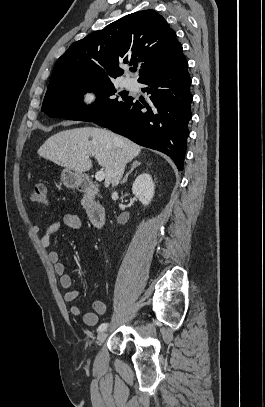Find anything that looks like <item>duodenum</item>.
Returning a JSON list of instances; mask_svg holds the SVG:
<instances>
[{"instance_id":"410a0bca","label":"duodenum","mask_w":265,"mask_h":407,"mask_svg":"<svg viewBox=\"0 0 265 407\" xmlns=\"http://www.w3.org/2000/svg\"><path fill=\"white\" fill-rule=\"evenodd\" d=\"M78 188L85 194V209L92 225L95 228H102L106 222V211L96 200L97 186L90 179H82Z\"/></svg>"}]
</instances>
